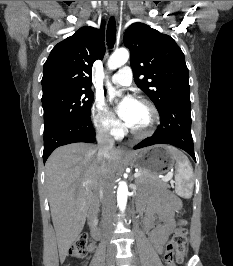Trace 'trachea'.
I'll use <instances>...</instances> for the list:
<instances>
[{"instance_id": "obj_1", "label": "trachea", "mask_w": 233, "mask_h": 266, "mask_svg": "<svg viewBox=\"0 0 233 266\" xmlns=\"http://www.w3.org/2000/svg\"><path fill=\"white\" fill-rule=\"evenodd\" d=\"M116 40V22L115 18L111 17L107 26V46L113 48Z\"/></svg>"}]
</instances>
